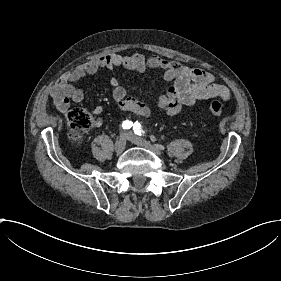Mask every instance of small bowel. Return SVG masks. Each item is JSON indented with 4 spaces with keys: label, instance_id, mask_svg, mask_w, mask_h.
Masks as SVG:
<instances>
[{
    "label": "small bowel",
    "instance_id": "small-bowel-1",
    "mask_svg": "<svg viewBox=\"0 0 281 281\" xmlns=\"http://www.w3.org/2000/svg\"><path fill=\"white\" fill-rule=\"evenodd\" d=\"M116 68H125L137 73H143L150 69L160 70L163 78L170 85L166 92L159 96L158 104L168 116L176 115L182 105H194L199 101L213 97H220L227 101L232 99V93L226 85L198 67L185 65L171 59L145 57L140 53H116L97 56L80 64L56 85H53L50 95L58 111L65 114L70 108V101L81 103L84 100L83 91L75 85L79 79L93 75L99 69L112 70ZM109 83L112 88V97L123 111L135 113L141 117L148 116L146 105L127 96L117 78L112 77ZM102 112V106H96L93 110L97 117ZM93 125L99 128L103 122L96 119Z\"/></svg>",
    "mask_w": 281,
    "mask_h": 281
}]
</instances>
